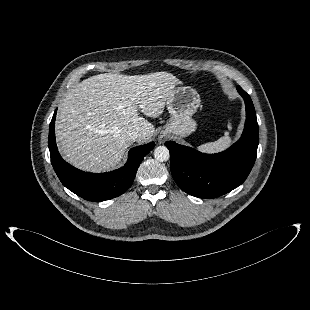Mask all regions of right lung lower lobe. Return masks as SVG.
Wrapping results in <instances>:
<instances>
[{"mask_svg": "<svg viewBox=\"0 0 310 310\" xmlns=\"http://www.w3.org/2000/svg\"><path fill=\"white\" fill-rule=\"evenodd\" d=\"M56 111L49 127L48 147L51 163L62 184L88 201H105L123 194L132 184L143 158L155 147L154 142L132 148L127 163L114 171L88 173L78 170L60 156L55 141Z\"/></svg>", "mask_w": 310, "mask_h": 310, "instance_id": "98d812e1", "label": "right lung lower lobe"}]
</instances>
